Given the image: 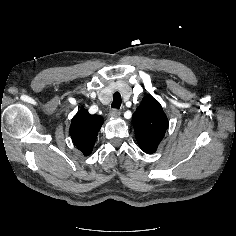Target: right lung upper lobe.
Returning <instances> with one entry per match:
<instances>
[{"label":"right lung upper lobe","instance_id":"cb5924a9","mask_svg":"<svg viewBox=\"0 0 236 236\" xmlns=\"http://www.w3.org/2000/svg\"><path fill=\"white\" fill-rule=\"evenodd\" d=\"M103 123L99 115H91L84 108L80 109L72 118L70 126L71 138L76 147L88 156L93 149L98 131Z\"/></svg>","mask_w":236,"mask_h":236}]
</instances>
